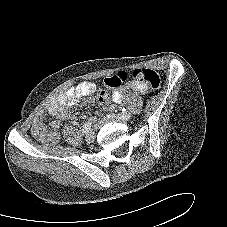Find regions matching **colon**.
I'll use <instances>...</instances> for the list:
<instances>
[{"instance_id":"obj_1","label":"colon","mask_w":227,"mask_h":227,"mask_svg":"<svg viewBox=\"0 0 227 227\" xmlns=\"http://www.w3.org/2000/svg\"><path fill=\"white\" fill-rule=\"evenodd\" d=\"M133 77L142 83H144L149 89L157 90L161 85L160 75L153 69L138 68L133 71ZM127 79V74L124 71H119L116 74L107 77L104 81L105 88H115L121 85ZM97 101L101 106H104L108 101V94L104 90L98 97ZM41 140H45V137H38Z\"/></svg>"}]
</instances>
